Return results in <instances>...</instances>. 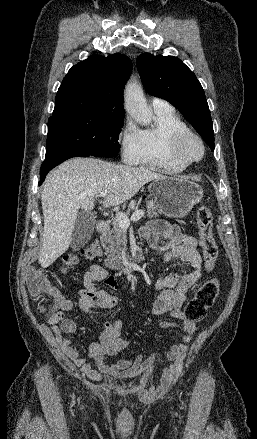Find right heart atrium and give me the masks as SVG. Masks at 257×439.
Wrapping results in <instances>:
<instances>
[{
    "label": "right heart atrium",
    "instance_id": "1",
    "mask_svg": "<svg viewBox=\"0 0 257 439\" xmlns=\"http://www.w3.org/2000/svg\"><path fill=\"white\" fill-rule=\"evenodd\" d=\"M119 143L123 161L133 163L140 150V130L130 118L126 119L121 129Z\"/></svg>",
    "mask_w": 257,
    "mask_h": 439
}]
</instances>
